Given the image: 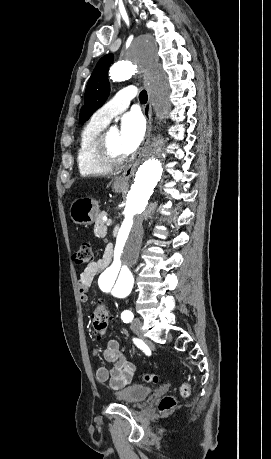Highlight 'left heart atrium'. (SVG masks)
Here are the masks:
<instances>
[{
  "instance_id": "obj_1",
  "label": "left heart atrium",
  "mask_w": 271,
  "mask_h": 459,
  "mask_svg": "<svg viewBox=\"0 0 271 459\" xmlns=\"http://www.w3.org/2000/svg\"><path fill=\"white\" fill-rule=\"evenodd\" d=\"M120 132L124 150L126 152L136 150L145 137V118L139 112L124 115L121 120Z\"/></svg>"
}]
</instances>
